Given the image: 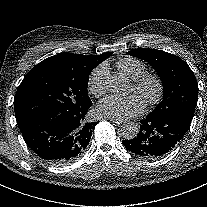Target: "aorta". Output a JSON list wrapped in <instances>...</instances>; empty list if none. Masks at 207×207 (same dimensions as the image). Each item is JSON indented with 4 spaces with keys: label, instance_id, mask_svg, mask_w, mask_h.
Segmentation results:
<instances>
[{
    "label": "aorta",
    "instance_id": "obj_1",
    "mask_svg": "<svg viewBox=\"0 0 207 207\" xmlns=\"http://www.w3.org/2000/svg\"><path fill=\"white\" fill-rule=\"evenodd\" d=\"M107 89L115 94H123L128 89V79L121 73L110 75L106 79ZM139 132V126L134 122H126L121 125L120 134L126 140L133 139Z\"/></svg>",
    "mask_w": 207,
    "mask_h": 207
}]
</instances>
